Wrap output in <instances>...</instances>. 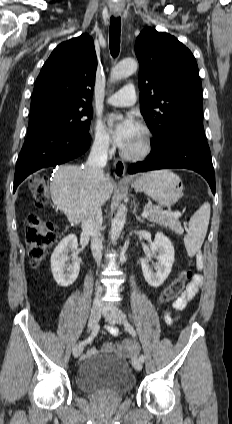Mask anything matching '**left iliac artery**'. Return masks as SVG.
I'll return each mask as SVG.
<instances>
[{
  "label": "left iliac artery",
  "mask_w": 232,
  "mask_h": 424,
  "mask_svg": "<svg viewBox=\"0 0 232 424\" xmlns=\"http://www.w3.org/2000/svg\"><path fill=\"white\" fill-rule=\"evenodd\" d=\"M124 326H125V329L132 335V336H136V332H135V330H134V328H133V326L131 325V324H129L128 322H125V324H124ZM139 359L142 361V362H144V359H145V357H144V355H140V357H139Z\"/></svg>",
  "instance_id": "obj_1"
}]
</instances>
